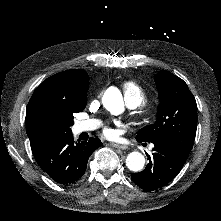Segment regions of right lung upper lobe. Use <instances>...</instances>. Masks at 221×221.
<instances>
[{
  "mask_svg": "<svg viewBox=\"0 0 221 221\" xmlns=\"http://www.w3.org/2000/svg\"><path fill=\"white\" fill-rule=\"evenodd\" d=\"M89 76L81 69H71L57 73L44 80L34 91L29 102L40 96H47L75 106H86ZM28 112L26 110V131L30 139L31 149L40 146L35 144L27 130Z\"/></svg>",
  "mask_w": 221,
  "mask_h": 221,
  "instance_id": "obj_1",
  "label": "right lung upper lobe"
}]
</instances>
